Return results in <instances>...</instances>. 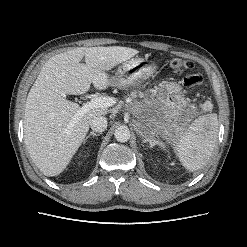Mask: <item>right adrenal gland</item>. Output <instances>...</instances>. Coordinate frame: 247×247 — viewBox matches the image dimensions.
<instances>
[{
  "mask_svg": "<svg viewBox=\"0 0 247 247\" xmlns=\"http://www.w3.org/2000/svg\"><path fill=\"white\" fill-rule=\"evenodd\" d=\"M100 134H101V133L90 132V133L86 136V138L84 139L83 143L85 144L90 136L95 137V136H99Z\"/></svg>",
  "mask_w": 247,
  "mask_h": 247,
  "instance_id": "right-adrenal-gland-1",
  "label": "right adrenal gland"
}]
</instances>
